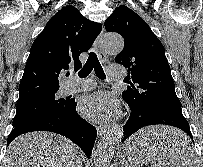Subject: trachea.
Wrapping results in <instances>:
<instances>
[{"mask_svg":"<svg viewBox=\"0 0 203 167\" xmlns=\"http://www.w3.org/2000/svg\"><path fill=\"white\" fill-rule=\"evenodd\" d=\"M92 70L95 71V74L98 78L106 79V75L95 52H90L87 62L78 72V75L80 78H85L91 73Z\"/></svg>","mask_w":203,"mask_h":167,"instance_id":"3493384b","label":"trachea"}]
</instances>
